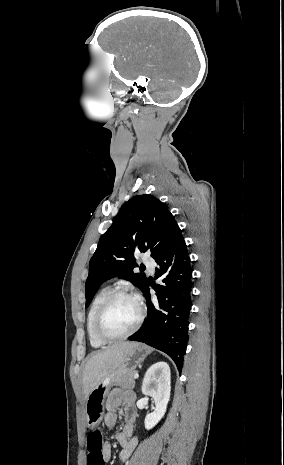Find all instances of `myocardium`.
I'll list each match as a JSON object with an SVG mask.
<instances>
[{
	"label": "myocardium",
	"mask_w": 284,
	"mask_h": 465,
	"mask_svg": "<svg viewBox=\"0 0 284 465\" xmlns=\"http://www.w3.org/2000/svg\"><path fill=\"white\" fill-rule=\"evenodd\" d=\"M121 298H129V299H132L136 303L138 310H139V318L136 324L134 325V327L131 329V331L127 333L126 335L117 337V338L108 337L101 332V329H100L101 323L108 309L111 307V305L116 300L121 299ZM145 315H146L145 306L143 304V301L138 295L128 290L114 291L110 293V295L103 301V303L101 304V306L99 307L95 315L94 323H93L94 335L100 342L105 343V344H113V343H119V342L125 341L136 334V332L139 330V328L141 327L144 321Z\"/></svg>",
	"instance_id": "f54148a6"
}]
</instances>
